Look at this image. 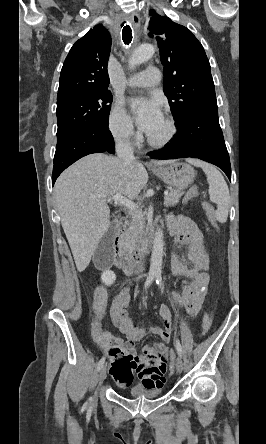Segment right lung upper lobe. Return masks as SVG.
<instances>
[{
	"instance_id": "1",
	"label": "right lung upper lobe",
	"mask_w": 266,
	"mask_h": 444,
	"mask_svg": "<svg viewBox=\"0 0 266 444\" xmlns=\"http://www.w3.org/2000/svg\"><path fill=\"white\" fill-rule=\"evenodd\" d=\"M110 49L111 37L102 25L94 26L76 41L61 70L57 99L107 89L110 83L107 71Z\"/></svg>"
}]
</instances>
